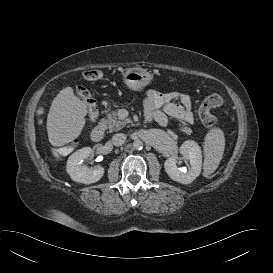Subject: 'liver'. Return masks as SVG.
Instances as JSON below:
<instances>
[{
    "mask_svg": "<svg viewBox=\"0 0 273 273\" xmlns=\"http://www.w3.org/2000/svg\"><path fill=\"white\" fill-rule=\"evenodd\" d=\"M87 113L85 102L74 96L71 88L61 90L54 98L47 116L49 142L60 147L75 140L85 126Z\"/></svg>",
    "mask_w": 273,
    "mask_h": 273,
    "instance_id": "1",
    "label": "liver"
}]
</instances>
